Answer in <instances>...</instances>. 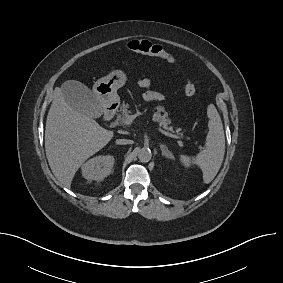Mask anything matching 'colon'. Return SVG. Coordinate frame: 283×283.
Here are the masks:
<instances>
[{
  "label": "colon",
  "mask_w": 283,
  "mask_h": 283,
  "mask_svg": "<svg viewBox=\"0 0 283 283\" xmlns=\"http://www.w3.org/2000/svg\"><path fill=\"white\" fill-rule=\"evenodd\" d=\"M126 48L133 53L157 57L169 63H173L175 61L174 57L165 51L160 45L154 44L146 39L131 40L126 44ZM184 93L188 97H193L196 94V87L191 81H187L185 83Z\"/></svg>",
  "instance_id": "obj_1"
}]
</instances>
